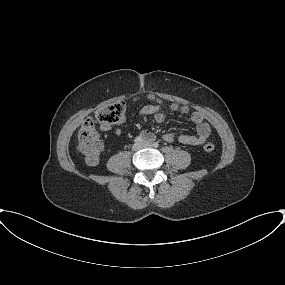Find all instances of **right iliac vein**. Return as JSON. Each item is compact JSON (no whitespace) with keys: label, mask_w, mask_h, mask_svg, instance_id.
Instances as JSON below:
<instances>
[{"label":"right iliac vein","mask_w":285,"mask_h":285,"mask_svg":"<svg viewBox=\"0 0 285 285\" xmlns=\"http://www.w3.org/2000/svg\"><path fill=\"white\" fill-rule=\"evenodd\" d=\"M142 145L140 143H136L133 145L132 149L134 151H138L139 149H141Z\"/></svg>","instance_id":"63e3f726"}]
</instances>
